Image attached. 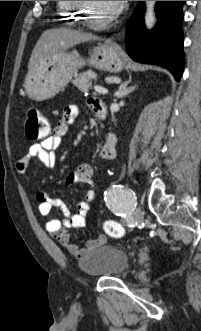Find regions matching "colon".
Returning a JSON list of instances; mask_svg holds the SVG:
<instances>
[{
    "mask_svg": "<svg viewBox=\"0 0 201 331\" xmlns=\"http://www.w3.org/2000/svg\"><path fill=\"white\" fill-rule=\"evenodd\" d=\"M49 131V124L45 116L37 110H30L25 121L26 136L31 140H43L49 135ZM104 230L108 236L113 238H120L124 234L122 226L111 220L104 223ZM97 239L100 243L105 242L104 235H99Z\"/></svg>",
    "mask_w": 201,
    "mask_h": 331,
    "instance_id": "colon-1",
    "label": "colon"
}]
</instances>
